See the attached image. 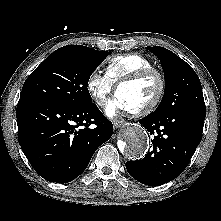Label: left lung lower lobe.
<instances>
[{"label": "left lung lower lobe", "instance_id": "obj_1", "mask_svg": "<svg viewBox=\"0 0 221 221\" xmlns=\"http://www.w3.org/2000/svg\"><path fill=\"white\" fill-rule=\"evenodd\" d=\"M206 111L183 109L153 114L139 123L155 135L151 151L137 161H127L129 174L145 185L174 180L186 168L202 138Z\"/></svg>", "mask_w": 221, "mask_h": 221}]
</instances>
